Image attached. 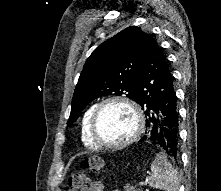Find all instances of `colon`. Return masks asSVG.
Wrapping results in <instances>:
<instances>
[{"instance_id": "obj_1", "label": "colon", "mask_w": 221, "mask_h": 191, "mask_svg": "<svg viewBox=\"0 0 221 191\" xmlns=\"http://www.w3.org/2000/svg\"><path fill=\"white\" fill-rule=\"evenodd\" d=\"M103 167V161L98 157L82 160L81 170L74 173L69 182V191H89V172H98Z\"/></svg>"}]
</instances>
